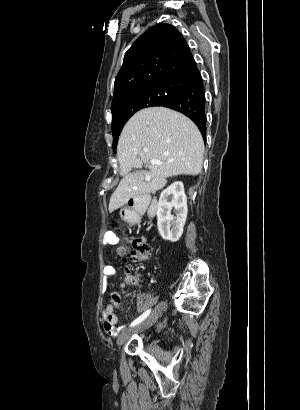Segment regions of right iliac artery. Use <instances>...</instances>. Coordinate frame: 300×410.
<instances>
[{
	"label": "right iliac artery",
	"mask_w": 300,
	"mask_h": 410,
	"mask_svg": "<svg viewBox=\"0 0 300 410\" xmlns=\"http://www.w3.org/2000/svg\"><path fill=\"white\" fill-rule=\"evenodd\" d=\"M151 309L147 310L146 312H144L141 316H139L137 319H135L132 323H131V327L135 326L139 323H141L144 319L147 318V316L150 314Z\"/></svg>",
	"instance_id": "obj_1"
}]
</instances>
